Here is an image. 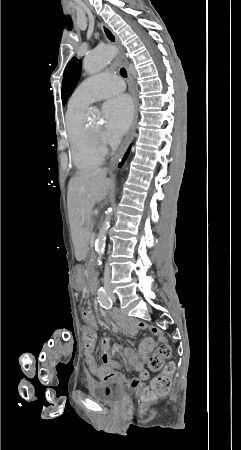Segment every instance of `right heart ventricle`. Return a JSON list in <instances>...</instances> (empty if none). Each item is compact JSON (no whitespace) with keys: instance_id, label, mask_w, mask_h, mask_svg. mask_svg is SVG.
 Returning a JSON list of instances; mask_svg holds the SVG:
<instances>
[{"instance_id":"1","label":"right heart ventricle","mask_w":241,"mask_h":450,"mask_svg":"<svg viewBox=\"0 0 241 450\" xmlns=\"http://www.w3.org/2000/svg\"><path fill=\"white\" fill-rule=\"evenodd\" d=\"M87 105L85 102L72 99L65 117V129L70 143L71 157L74 164L80 169L99 166L104 159V152L100 151L101 142L86 144L82 140L88 134V125L84 121V112Z\"/></svg>"}]
</instances>
